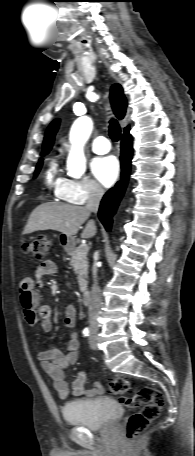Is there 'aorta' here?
<instances>
[{"label":"aorta","mask_w":195,"mask_h":456,"mask_svg":"<svg viewBox=\"0 0 195 456\" xmlns=\"http://www.w3.org/2000/svg\"><path fill=\"white\" fill-rule=\"evenodd\" d=\"M93 129L91 118L83 116L78 118L70 130V151L67 157L68 175L78 178L86 171V158L84 145L88 141Z\"/></svg>","instance_id":"aorta-1"}]
</instances>
